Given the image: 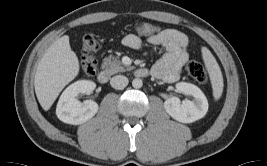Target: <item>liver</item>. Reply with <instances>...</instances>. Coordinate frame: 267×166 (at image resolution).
Segmentation results:
<instances>
[{
  "label": "liver",
  "instance_id": "obj_1",
  "mask_svg": "<svg viewBox=\"0 0 267 166\" xmlns=\"http://www.w3.org/2000/svg\"><path fill=\"white\" fill-rule=\"evenodd\" d=\"M79 73V61L67 35L57 39L41 58L34 87L41 107L47 111L63 90Z\"/></svg>",
  "mask_w": 267,
  "mask_h": 166
}]
</instances>
